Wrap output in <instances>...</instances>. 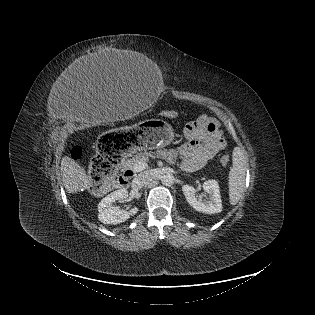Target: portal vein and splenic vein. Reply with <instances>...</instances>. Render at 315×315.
I'll list each match as a JSON object with an SVG mask.
<instances>
[{"instance_id": "portal-vein-and-splenic-vein-1", "label": "portal vein and splenic vein", "mask_w": 315, "mask_h": 315, "mask_svg": "<svg viewBox=\"0 0 315 315\" xmlns=\"http://www.w3.org/2000/svg\"><path fill=\"white\" fill-rule=\"evenodd\" d=\"M147 166H148L147 163L140 161L136 164L134 171L140 172V171L144 170Z\"/></svg>"}]
</instances>
